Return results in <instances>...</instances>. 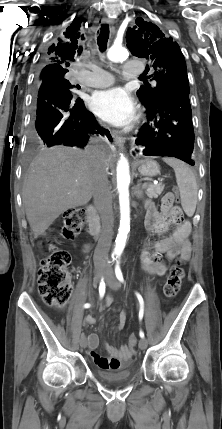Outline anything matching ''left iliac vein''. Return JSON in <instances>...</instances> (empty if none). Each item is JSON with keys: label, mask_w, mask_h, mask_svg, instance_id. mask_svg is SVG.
Instances as JSON below:
<instances>
[{"label": "left iliac vein", "mask_w": 222, "mask_h": 429, "mask_svg": "<svg viewBox=\"0 0 222 429\" xmlns=\"http://www.w3.org/2000/svg\"><path fill=\"white\" fill-rule=\"evenodd\" d=\"M105 280H106V283H107V285L111 288V289H113V290H118L119 289V287H120V284H119V282L117 281V279L115 278V275H114V272H113V270H112V268H111V266H108L107 268H106V272H105ZM147 340L145 339V338H141L140 340H139V343H138V346H139V348L140 349H146V347H147Z\"/></svg>", "instance_id": "1"}]
</instances>
